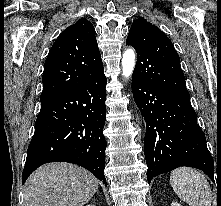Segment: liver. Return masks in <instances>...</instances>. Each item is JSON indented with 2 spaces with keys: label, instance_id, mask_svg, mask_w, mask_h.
<instances>
[{
  "label": "liver",
  "instance_id": "6515ba94",
  "mask_svg": "<svg viewBox=\"0 0 221 206\" xmlns=\"http://www.w3.org/2000/svg\"><path fill=\"white\" fill-rule=\"evenodd\" d=\"M98 180L86 169L70 163H50L27 180L25 206H83L98 189Z\"/></svg>",
  "mask_w": 221,
  "mask_h": 206
}]
</instances>
